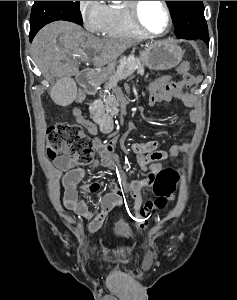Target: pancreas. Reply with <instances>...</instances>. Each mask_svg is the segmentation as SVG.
I'll return each mask as SVG.
<instances>
[{
    "label": "pancreas",
    "mask_w": 237,
    "mask_h": 300,
    "mask_svg": "<svg viewBox=\"0 0 237 300\" xmlns=\"http://www.w3.org/2000/svg\"><path fill=\"white\" fill-rule=\"evenodd\" d=\"M124 63L125 65H123V67H117L116 71H113L112 75L108 77L107 83L104 85V89H113V87H116L118 81H121V79H127V77H131L135 71H137L139 75H144V65H142L138 57L131 55V57L126 59ZM103 99V111H105V113H110L112 117H114V115H118L119 103L115 95H108V97H103Z\"/></svg>",
    "instance_id": "obj_1"
}]
</instances>
